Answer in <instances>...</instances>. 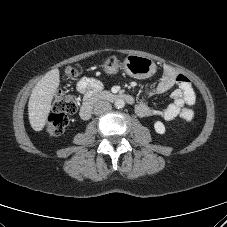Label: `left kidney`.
Returning <instances> with one entry per match:
<instances>
[{"instance_id": "5707ae66", "label": "left kidney", "mask_w": 227, "mask_h": 227, "mask_svg": "<svg viewBox=\"0 0 227 227\" xmlns=\"http://www.w3.org/2000/svg\"><path fill=\"white\" fill-rule=\"evenodd\" d=\"M154 129L158 134H164L166 131L165 126L161 121H156L154 123Z\"/></svg>"}]
</instances>
